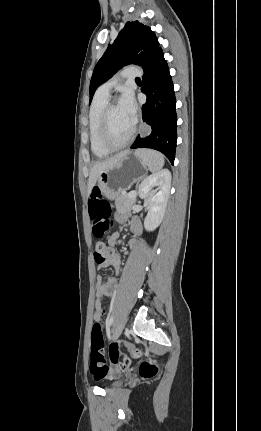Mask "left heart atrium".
Returning a JSON list of instances; mask_svg holds the SVG:
<instances>
[{
	"instance_id": "obj_1",
	"label": "left heart atrium",
	"mask_w": 261,
	"mask_h": 431,
	"mask_svg": "<svg viewBox=\"0 0 261 431\" xmlns=\"http://www.w3.org/2000/svg\"><path fill=\"white\" fill-rule=\"evenodd\" d=\"M119 106L128 115L133 123L136 121L137 106L131 92L125 91L120 100Z\"/></svg>"
}]
</instances>
